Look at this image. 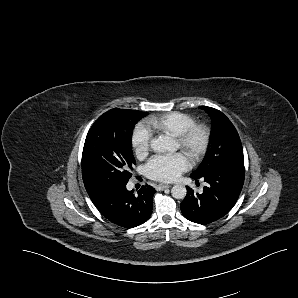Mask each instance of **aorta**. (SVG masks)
Here are the masks:
<instances>
[{
	"label": "aorta",
	"mask_w": 298,
	"mask_h": 298,
	"mask_svg": "<svg viewBox=\"0 0 298 298\" xmlns=\"http://www.w3.org/2000/svg\"><path fill=\"white\" fill-rule=\"evenodd\" d=\"M180 147V144L175 138L161 134L158 137H154L150 140V148L155 153H175ZM187 194L185 186L174 185L171 188V195L175 199H184Z\"/></svg>",
	"instance_id": "762f6f07"
}]
</instances>
